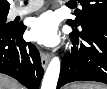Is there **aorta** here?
Segmentation results:
<instances>
[{"label":"aorta","mask_w":107,"mask_h":89,"mask_svg":"<svg viewBox=\"0 0 107 89\" xmlns=\"http://www.w3.org/2000/svg\"><path fill=\"white\" fill-rule=\"evenodd\" d=\"M60 74V60L58 57L52 58L45 72L41 89H56Z\"/></svg>","instance_id":"aorta-1"}]
</instances>
